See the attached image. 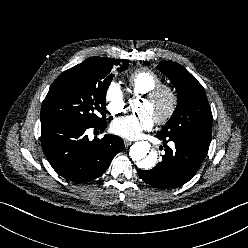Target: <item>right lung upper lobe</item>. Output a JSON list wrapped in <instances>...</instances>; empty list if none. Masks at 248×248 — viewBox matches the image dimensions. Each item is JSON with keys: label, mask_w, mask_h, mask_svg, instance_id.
<instances>
[{"label": "right lung upper lobe", "mask_w": 248, "mask_h": 248, "mask_svg": "<svg viewBox=\"0 0 248 248\" xmlns=\"http://www.w3.org/2000/svg\"><path fill=\"white\" fill-rule=\"evenodd\" d=\"M97 62H108L112 64H118L120 63L119 60L111 59V58H101V57H91L83 61L82 63L84 64H92V63H97Z\"/></svg>", "instance_id": "1"}]
</instances>
